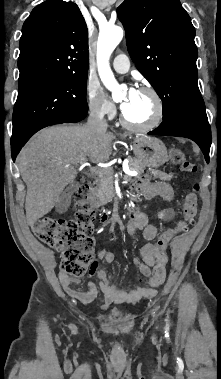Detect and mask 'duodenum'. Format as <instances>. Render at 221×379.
Returning a JSON list of instances; mask_svg holds the SVG:
<instances>
[{
  "mask_svg": "<svg viewBox=\"0 0 221 379\" xmlns=\"http://www.w3.org/2000/svg\"><path fill=\"white\" fill-rule=\"evenodd\" d=\"M83 188L85 189V190H87L89 193H90V191H91V182L90 181H85L84 183H83ZM107 219V216L106 215H104L103 217H102V220L103 221H105Z\"/></svg>",
  "mask_w": 221,
  "mask_h": 379,
  "instance_id": "duodenum-1",
  "label": "duodenum"
}]
</instances>
